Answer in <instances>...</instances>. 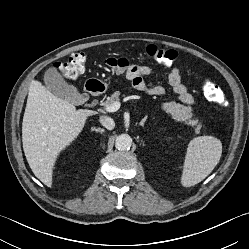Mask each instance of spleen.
I'll return each instance as SVG.
<instances>
[{"label": "spleen", "instance_id": "3e777b00", "mask_svg": "<svg viewBox=\"0 0 249 249\" xmlns=\"http://www.w3.org/2000/svg\"><path fill=\"white\" fill-rule=\"evenodd\" d=\"M222 154L221 141L213 136L193 138L187 148L181 183L191 187L204 180L218 164Z\"/></svg>", "mask_w": 249, "mask_h": 249}]
</instances>
